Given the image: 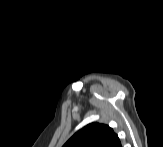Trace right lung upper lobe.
<instances>
[{"label":"right lung upper lobe","mask_w":163,"mask_h":147,"mask_svg":"<svg viewBox=\"0 0 163 147\" xmlns=\"http://www.w3.org/2000/svg\"><path fill=\"white\" fill-rule=\"evenodd\" d=\"M120 140L112 128L91 123L75 133L63 147H117Z\"/></svg>","instance_id":"obj_1"}]
</instances>
